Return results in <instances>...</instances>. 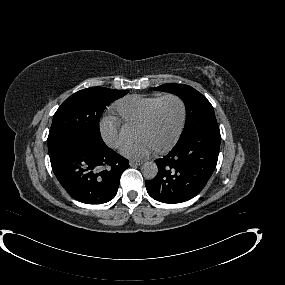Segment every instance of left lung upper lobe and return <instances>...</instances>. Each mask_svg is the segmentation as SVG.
Returning a JSON list of instances; mask_svg holds the SVG:
<instances>
[{
    "label": "left lung upper lobe",
    "instance_id": "1",
    "mask_svg": "<svg viewBox=\"0 0 285 285\" xmlns=\"http://www.w3.org/2000/svg\"><path fill=\"white\" fill-rule=\"evenodd\" d=\"M155 89L173 92L182 98L185 103L186 122L179 140L202 126L217 123L211 103L194 88L184 84L170 83L160 85Z\"/></svg>",
    "mask_w": 285,
    "mask_h": 285
}]
</instances>
